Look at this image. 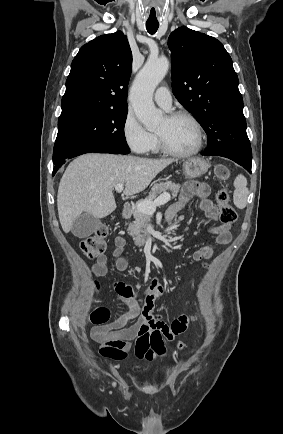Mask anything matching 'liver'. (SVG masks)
Returning a JSON list of instances; mask_svg holds the SVG:
<instances>
[{"label":"liver","instance_id":"6515ba94","mask_svg":"<svg viewBox=\"0 0 283 434\" xmlns=\"http://www.w3.org/2000/svg\"><path fill=\"white\" fill-rule=\"evenodd\" d=\"M172 159H147L131 155L84 154L66 168L59 184L57 207L60 224L68 233L83 213L104 218L116 209L113 188L125 184L123 194L145 190Z\"/></svg>","mask_w":283,"mask_h":434}]
</instances>
